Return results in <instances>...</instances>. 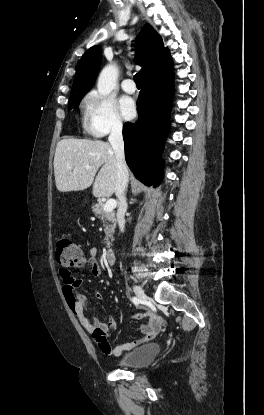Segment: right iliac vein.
I'll use <instances>...</instances> for the list:
<instances>
[{"label": "right iliac vein", "mask_w": 264, "mask_h": 415, "mask_svg": "<svg viewBox=\"0 0 264 415\" xmlns=\"http://www.w3.org/2000/svg\"><path fill=\"white\" fill-rule=\"evenodd\" d=\"M133 290H134V292H135L136 296H137V297H138L141 301H144V302L149 301L148 296L145 294L144 290H143L140 286L134 285V286H133Z\"/></svg>", "instance_id": "right-iliac-vein-1"}]
</instances>
